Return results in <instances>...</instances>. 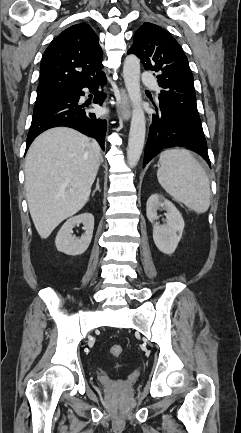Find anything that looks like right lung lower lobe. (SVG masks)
I'll return each instance as SVG.
<instances>
[{
	"instance_id": "98d812e1",
	"label": "right lung lower lobe",
	"mask_w": 241,
	"mask_h": 433,
	"mask_svg": "<svg viewBox=\"0 0 241 433\" xmlns=\"http://www.w3.org/2000/svg\"><path fill=\"white\" fill-rule=\"evenodd\" d=\"M105 82L106 77L102 75L87 84L67 87L60 92L58 98L34 111L27 136L26 151L40 133L58 126L71 127L87 136L94 137L104 149L106 120L98 118L93 112H89L84 108V105H79L78 101L84 95L83 88H89L95 94L93 102L101 105L105 94L99 92L97 88L99 85L103 86Z\"/></svg>"
}]
</instances>
